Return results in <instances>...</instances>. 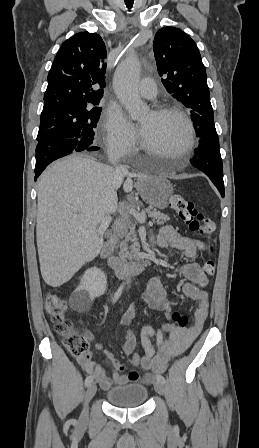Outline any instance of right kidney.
Here are the masks:
<instances>
[{"label":"right kidney","instance_id":"right-kidney-1","mask_svg":"<svg viewBox=\"0 0 259 448\" xmlns=\"http://www.w3.org/2000/svg\"><path fill=\"white\" fill-rule=\"evenodd\" d=\"M107 278L99 268H89L81 278L80 286L70 296L69 304L76 312H87L93 300L103 296Z\"/></svg>","mask_w":259,"mask_h":448}]
</instances>
